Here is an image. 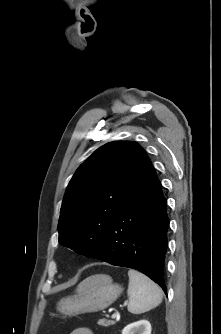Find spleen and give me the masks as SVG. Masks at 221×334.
<instances>
[{
	"instance_id": "spleen-1",
	"label": "spleen",
	"mask_w": 221,
	"mask_h": 334,
	"mask_svg": "<svg viewBox=\"0 0 221 334\" xmlns=\"http://www.w3.org/2000/svg\"><path fill=\"white\" fill-rule=\"evenodd\" d=\"M128 276V311L130 313H145L162 302L163 292L151 279L133 269L128 271Z\"/></svg>"
}]
</instances>
